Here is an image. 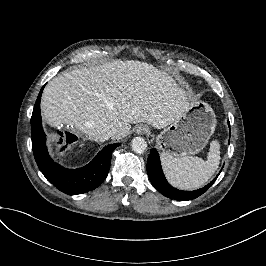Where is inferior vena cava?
<instances>
[{
  "instance_id": "602c4592",
  "label": "inferior vena cava",
  "mask_w": 266,
  "mask_h": 266,
  "mask_svg": "<svg viewBox=\"0 0 266 266\" xmlns=\"http://www.w3.org/2000/svg\"><path fill=\"white\" fill-rule=\"evenodd\" d=\"M116 134L115 129H107L105 128L104 131H99L97 134V137L99 138V141H105L111 138Z\"/></svg>"
}]
</instances>
